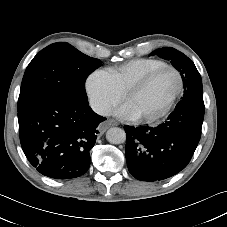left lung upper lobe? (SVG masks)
Returning a JSON list of instances; mask_svg holds the SVG:
<instances>
[{"label": "left lung upper lobe", "instance_id": "left-lung-upper-lobe-1", "mask_svg": "<svg viewBox=\"0 0 227 227\" xmlns=\"http://www.w3.org/2000/svg\"><path fill=\"white\" fill-rule=\"evenodd\" d=\"M151 55H158L166 60H170L172 65L181 74L184 96L176 107H204L201 76L194 63L186 55L171 47L159 48L153 51Z\"/></svg>", "mask_w": 227, "mask_h": 227}]
</instances>
